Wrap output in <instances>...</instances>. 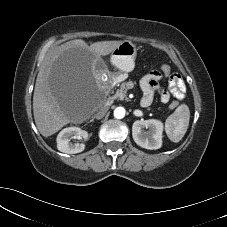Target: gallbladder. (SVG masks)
Masks as SVG:
<instances>
[{"instance_id": "1", "label": "gallbladder", "mask_w": 227, "mask_h": 227, "mask_svg": "<svg viewBox=\"0 0 227 227\" xmlns=\"http://www.w3.org/2000/svg\"><path fill=\"white\" fill-rule=\"evenodd\" d=\"M94 66H95L96 72L99 73V74L104 73L105 70H106L105 63L101 59L96 60L95 63H94Z\"/></svg>"}]
</instances>
